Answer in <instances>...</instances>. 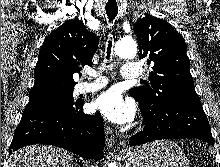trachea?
I'll list each match as a JSON object with an SVG mask.
<instances>
[{"mask_svg":"<svg viewBox=\"0 0 220 167\" xmlns=\"http://www.w3.org/2000/svg\"><path fill=\"white\" fill-rule=\"evenodd\" d=\"M106 14L108 16L109 22H112L113 19L116 17V15L118 14V7L117 5H106ZM111 47H112V42L109 41L108 47H107V56L106 59L110 58V54H111ZM107 65H109V63H107Z\"/></svg>","mask_w":220,"mask_h":167,"instance_id":"obj_1","label":"trachea"}]
</instances>
